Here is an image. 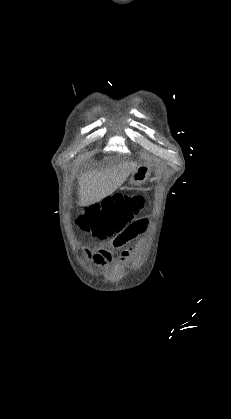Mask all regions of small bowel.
I'll return each instance as SVG.
<instances>
[{"mask_svg": "<svg viewBox=\"0 0 231 419\" xmlns=\"http://www.w3.org/2000/svg\"><path fill=\"white\" fill-rule=\"evenodd\" d=\"M148 225L146 219L136 221L125 227L111 242V247L114 249H122L121 257L126 260L130 255V249L127 247L137 235L142 233ZM95 262L105 266L112 260V254L109 249L102 248L94 255Z\"/></svg>", "mask_w": 231, "mask_h": 419, "instance_id": "obj_1", "label": "small bowel"}]
</instances>
